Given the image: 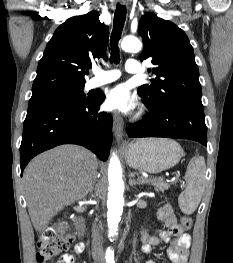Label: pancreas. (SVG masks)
I'll use <instances>...</instances> for the list:
<instances>
[{"label": "pancreas", "instance_id": "pancreas-1", "mask_svg": "<svg viewBox=\"0 0 233 263\" xmlns=\"http://www.w3.org/2000/svg\"><path fill=\"white\" fill-rule=\"evenodd\" d=\"M143 182L154 186L156 191L164 192L169 188V184L164 182L162 178H150L148 180H144Z\"/></svg>", "mask_w": 233, "mask_h": 263}]
</instances>
